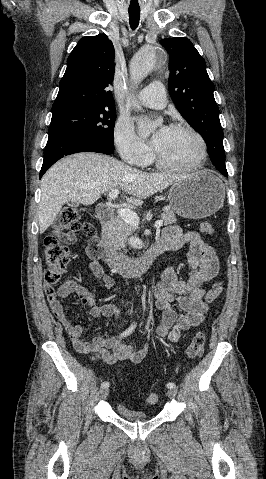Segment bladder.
Segmentation results:
<instances>
[{"label": "bladder", "instance_id": "bladder-1", "mask_svg": "<svg viewBox=\"0 0 266 479\" xmlns=\"http://www.w3.org/2000/svg\"><path fill=\"white\" fill-rule=\"evenodd\" d=\"M117 411L119 416L122 418H125L127 420H132V421H143L147 420L149 418V415L143 411H137L129 408L126 404L124 403H118L117 404Z\"/></svg>", "mask_w": 266, "mask_h": 479}]
</instances>
